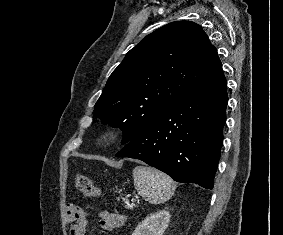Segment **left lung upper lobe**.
I'll return each mask as SVG.
<instances>
[{
	"label": "left lung upper lobe",
	"instance_id": "1",
	"mask_svg": "<svg viewBox=\"0 0 283 235\" xmlns=\"http://www.w3.org/2000/svg\"><path fill=\"white\" fill-rule=\"evenodd\" d=\"M221 68L217 50L200 25L169 23L126 54L96 102L95 116L120 127L126 144Z\"/></svg>",
	"mask_w": 283,
	"mask_h": 235
}]
</instances>
